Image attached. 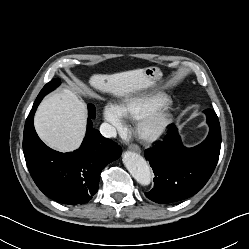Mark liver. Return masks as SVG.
Segmentation results:
<instances>
[{"label":"liver","instance_id":"obj_1","mask_svg":"<svg viewBox=\"0 0 249 249\" xmlns=\"http://www.w3.org/2000/svg\"><path fill=\"white\" fill-rule=\"evenodd\" d=\"M89 84L94 89L115 97H126L151 86L152 82L142 69L115 73L95 74ZM80 86L85 87L84 84ZM87 111L85 104L68 89L47 96L39 105L34 126L39 137L60 152L77 149L85 135Z\"/></svg>","mask_w":249,"mask_h":249}]
</instances>
